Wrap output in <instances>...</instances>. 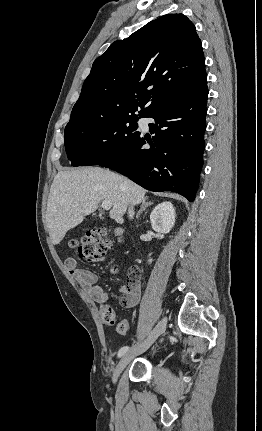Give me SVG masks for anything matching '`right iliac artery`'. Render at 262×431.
<instances>
[{
	"label": "right iliac artery",
	"instance_id": "82829eb1",
	"mask_svg": "<svg viewBox=\"0 0 262 431\" xmlns=\"http://www.w3.org/2000/svg\"><path fill=\"white\" fill-rule=\"evenodd\" d=\"M129 350L128 346L122 347L118 352V357H122Z\"/></svg>",
	"mask_w": 262,
	"mask_h": 431
}]
</instances>
